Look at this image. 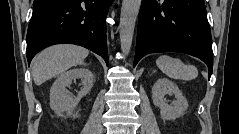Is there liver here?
Masks as SVG:
<instances>
[{"label": "liver", "mask_w": 239, "mask_h": 134, "mask_svg": "<svg viewBox=\"0 0 239 134\" xmlns=\"http://www.w3.org/2000/svg\"><path fill=\"white\" fill-rule=\"evenodd\" d=\"M86 48L61 44L51 46L40 52L32 62V76L36 85L56 77L69 68L80 65L88 56Z\"/></svg>", "instance_id": "6515ba94"}]
</instances>
